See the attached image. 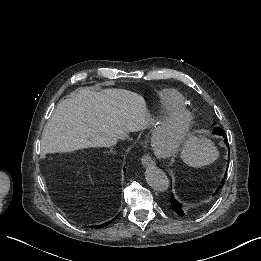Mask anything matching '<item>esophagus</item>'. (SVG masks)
I'll list each match as a JSON object with an SVG mask.
<instances>
[{
	"instance_id": "1",
	"label": "esophagus",
	"mask_w": 261,
	"mask_h": 261,
	"mask_svg": "<svg viewBox=\"0 0 261 261\" xmlns=\"http://www.w3.org/2000/svg\"><path fill=\"white\" fill-rule=\"evenodd\" d=\"M141 164L144 167H152L155 166V162L147 155L143 156L141 159Z\"/></svg>"
}]
</instances>
